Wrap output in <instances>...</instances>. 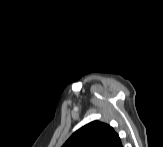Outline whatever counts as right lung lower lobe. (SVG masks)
<instances>
[{
    "label": "right lung lower lobe",
    "instance_id": "right-lung-lower-lobe-1",
    "mask_svg": "<svg viewBox=\"0 0 163 147\" xmlns=\"http://www.w3.org/2000/svg\"><path fill=\"white\" fill-rule=\"evenodd\" d=\"M117 147H122V144H121V142L117 145Z\"/></svg>",
    "mask_w": 163,
    "mask_h": 147
}]
</instances>
